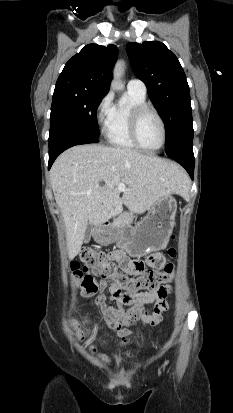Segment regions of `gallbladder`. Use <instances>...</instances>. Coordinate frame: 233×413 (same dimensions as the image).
<instances>
[{"instance_id":"1","label":"gallbladder","mask_w":233,"mask_h":413,"mask_svg":"<svg viewBox=\"0 0 233 413\" xmlns=\"http://www.w3.org/2000/svg\"><path fill=\"white\" fill-rule=\"evenodd\" d=\"M91 226H88L86 231H85V235H84V243H88L90 241L91 238Z\"/></svg>"}]
</instances>
